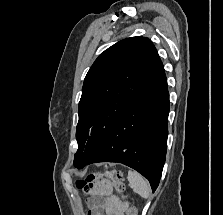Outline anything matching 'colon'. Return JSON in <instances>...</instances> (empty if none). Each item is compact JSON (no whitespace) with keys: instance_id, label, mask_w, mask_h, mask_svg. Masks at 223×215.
<instances>
[{"instance_id":"5ec220e1","label":"colon","mask_w":223,"mask_h":215,"mask_svg":"<svg viewBox=\"0 0 223 215\" xmlns=\"http://www.w3.org/2000/svg\"><path fill=\"white\" fill-rule=\"evenodd\" d=\"M99 179H110L115 186L116 191L121 195L123 194L125 189L124 175L119 170H105L102 172L89 173L83 179L77 181V187L88 192ZM126 215H137L136 208L133 205L128 206Z\"/></svg>"}]
</instances>
